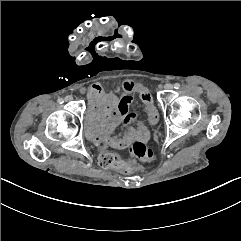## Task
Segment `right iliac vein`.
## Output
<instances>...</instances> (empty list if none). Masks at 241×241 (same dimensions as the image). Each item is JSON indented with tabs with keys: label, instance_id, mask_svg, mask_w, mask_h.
<instances>
[{
	"label": "right iliac vein",
	"instance_id": "obj_1",
	"mask_svg": "<svg viewBox=\"0 0 241 241\" xmlns=\"http://www.w3.org/2000/svg\"><path fill=\"white\" fill-rule=\"evenodd\" d=\"M65 101H66V102L72 101V97H71V96L65 97Z\"/></svg>",
	"mask_w": 241,
	"mask_h": 241
}]
</instances>
